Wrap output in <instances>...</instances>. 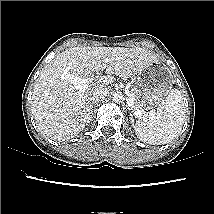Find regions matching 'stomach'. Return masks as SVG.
I'll return each instance as SVG.
<instances>
[{"mask_svg": "<svg viewBox=\"0 0 214 214\" xmlns=\"http://www.w3.org/2000/svg\"><path fill=\"white\" fill-rule=\"evenodd\" d=\"M174 79L169 67L160 60L147 65L135 78L134 103L142 110L158 106L170 93Z\"/></svg>", "mask_w": 214, "mask_h": 214, "instance_id": "obj_1", "label": "stomach"}]
</instances>
